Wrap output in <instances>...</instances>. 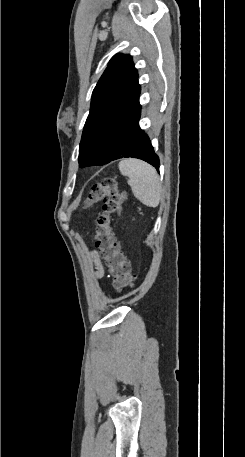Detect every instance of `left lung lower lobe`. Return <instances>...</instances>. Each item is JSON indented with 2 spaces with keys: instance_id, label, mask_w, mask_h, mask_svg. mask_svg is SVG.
Wrapping results in <instances>:
<instances>
[{
  "instance_id": "left-lung-lower-lobe-1",
  "label": "left lung lower lobe",
  "mask_w": 245,
  "mask_h": 457,
  "mask_svg": "<svg viewBox=\"0 0 245 457\" xmlns=\"http://www.w3.org/2000/svg\"><path fill=\"white\" fill-rule=\"evenodd\" d=\"M140 109L116 116L105 125L88 133L79 148L80 167L103 165L110 161L132 157L144 160L159 171V157L139 126Z\"/></svg>"
}]
</instances>
